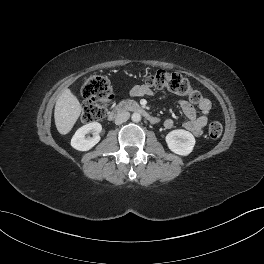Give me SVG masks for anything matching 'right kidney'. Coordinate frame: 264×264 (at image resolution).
I'll return each instance as SVG.
<instances>
[{"instance_id": "1", "label": "right kidney", "mask_w": 264, "mask_h": 264, "mask_svg": "<svg viewBox=\"0 0 264 264\" xmlns=\"http://www.w3.org/2000/svg\"><path fill=\"white\" fill-rule=\"evenodd\" d=\"M102 126L100 123L91 122L79 128L71 139V146L79 151H88L100 141ZM87 133H92L93 137L86 138Z\"/></svg>"}]
</instances>
